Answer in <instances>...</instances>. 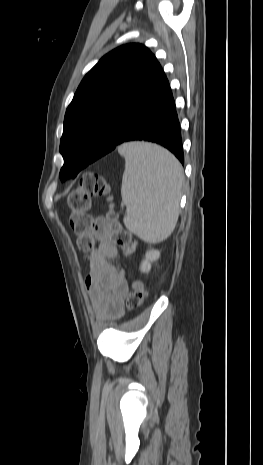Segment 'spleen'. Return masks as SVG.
Listing matches in <instances>:
<instances>
[{
	"label": "spleen",
	"instance_id": "1",
	"mask_svg": "<svg viewBox=\"0 0 263 465\" xmlns=\"http://www.w3.org/2000/svg\"><path fill=\"white\" fill-rule=\"evenodd\" d=\"M125 158L122 204L126 228L149 243L166 239L179 216L184 175L179 161L167 150L143 142L118 147Z\"/></svg>",
	"mask_w": 263,
	"mask_h": 465
}]
</instances>
